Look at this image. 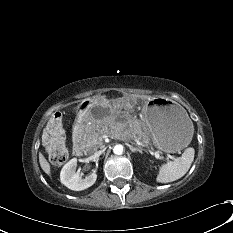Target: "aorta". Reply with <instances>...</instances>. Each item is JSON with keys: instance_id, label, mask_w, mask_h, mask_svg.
Masks as SVG:
<instances>
[{"instance_id": "1", "label": "aorta", "mask_w": 233, "mask_h": 233, "mask_svg": "<svg viewBox=\"0 0 233 233\" xmlns=\"http://www.w3.org/2000/svg\"><path fill=\"white\" fill-rule=\"evenodd\" d=\"M123 151H124V148H123V146L121 144H117L113 148V152L116 155H121L123 153Z\"/></svg>"}]
</instances>
